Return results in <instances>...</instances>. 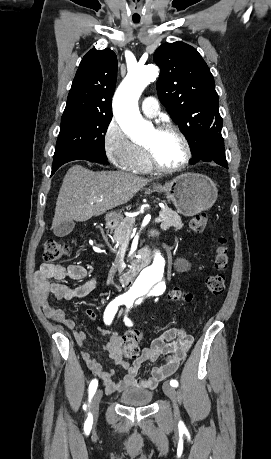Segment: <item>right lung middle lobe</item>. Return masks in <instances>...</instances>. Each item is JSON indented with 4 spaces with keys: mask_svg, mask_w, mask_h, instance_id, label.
<instances>
[{
    "mask_svg": "<svg viewBox=\"0 0 271 459\" xmlns=\"http://www.w3.org/2000/svg\"><path fill=\"white\" fill-rule=\"evenodd\" d=\"M112 115L63 114L54 159L73 151L105 155L104 134Z\"/></svg>",
    "mask_w": 271,
    "mask_h": 459,
    "instance_id": "obj_1",
    "label": "right lung middle lobe"
}]
</instances>
